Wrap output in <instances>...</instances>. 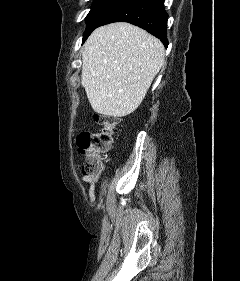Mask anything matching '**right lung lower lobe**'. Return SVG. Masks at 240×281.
I'll return each instance as SVG.
<instances>
[{
  "mask_svg": "<svg viewBox=\"0 0 240 281\" xmlns=\"http://www.w3.org/2000/svg\"><path fill=\"white\" fill-rule=\"evenodd\" d=\"M163 3L164 0H121L100 20L96 28L113 22H128L147 30L167 47L168 14Z\"/></svg>",
  "mask_w": 240,
  "mask_h": 281,
  "instance_id": "right-lung-lower-lobe-1",
  "label": "right lung lower lobe"
}]
</instances>
